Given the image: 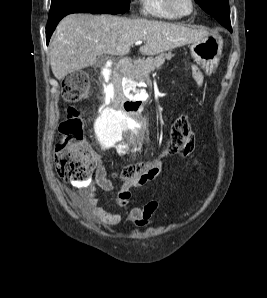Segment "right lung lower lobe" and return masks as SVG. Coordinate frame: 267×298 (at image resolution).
Wrapping results in <instances>:
<instances>
[{
  "label": "right lung lower lobe",
  "mask_w": 267,
  "mask_h": 298,
  "mask_svg": "<svg viewBox=\"0 0 267 298\" xmlns=\"http://www.w3.org/2000/svg\"><path fill=\"white\" fill-rule=\"evenodd\" d=\"M61 19H62V18L57 19V20H55V21H53V22L47 23V27H46V40H47V44H48V42H49V39H50V37H51L53 31H54L55 28H56L58 22H59Z\"/></svg>",
  "instance_id": "obj_1"
}]
</instances>
